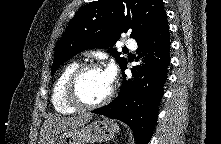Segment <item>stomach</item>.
<instances>
[{
    "mask_svg": "<svg viewBox=\"0 0 221 144\" xmlns=\"http://www.w3.org/2000/svg\"><path fill=\"white\" fill-rule=\"evenodd\" d=\"M119 131V126L112 121L95 120L78 128L56 135L47 144H85L102 143L111 140Z\"/></svg>",
    "mask_w": 221,
    "mask_h": 144,
    "instance_id": "1",
    "label": "stomach"
}]
</instances>
